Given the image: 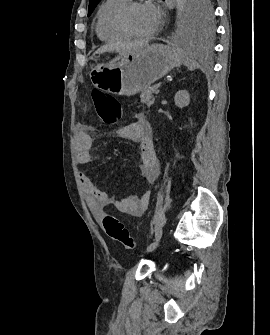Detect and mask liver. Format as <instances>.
Here are the masks:
<instances>
[{
	"instance_id": "1",
	"label": "liver",
	"mask_w": 270,
	"mask_h": 335,
	"mask_svg": "<svg viewBox=\"0 0 270 335\" xmlns=\"http://www.w3.org/2000/svg\"><path fill=\"white\" fill-rule=\"evenodd\" d=\"M139 48H144V44H136V42L132 44V42H130V44H123L119 50L125 54V52H132V50H139ZM109 50L110 46L109 44H106V46H101V48H98L95 54H104V52H109Z\"/></svg>"
}]
</instances>
